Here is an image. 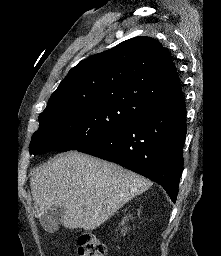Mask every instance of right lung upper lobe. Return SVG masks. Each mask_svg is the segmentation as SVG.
Instances as JSON below:
<instances>
[{
  "label": "right lung upper lobe",
  "mask_w": 221,
  "mask_h": 256,
  "mask_svg": "<svg viewBox=\"0 0 221 256\" xmlns=\"http://www.w3.org/2000/svg\"><path fill=\"white\" fill-rule=\"evenodd\" d=\"M184 103L168 50L151 37L128 39L73 67L41 114L113 104L140 117Z\"/></svg>",
  "instance_id": "1"
}]
</instances>
